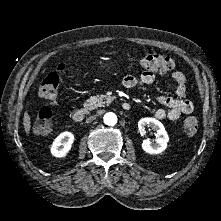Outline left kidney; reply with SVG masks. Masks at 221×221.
Returning a JSON list of instances; mask_svg holds the SVG:
<instances>
[{"mask_svg": "<svg viewBox=\"0 0 221 221\" xmlns=\"http://www.w3.org/2000/svg\"><path fill=\"white\" fill-rule=\"evenodd\" d=\"M151 127L156 132L155 143H152L149 139H145L142 142V149L148 154H160L167 148L169 141L168 134L163 124L155 118H142L138 122V128L140 133H143L145 127Z\"/></svg>", "mask_w": 221, "mask_h": 221, "instance_id": "5707ae66", "label": "left kidney"}]
</instances>
